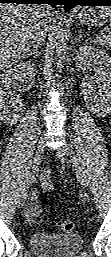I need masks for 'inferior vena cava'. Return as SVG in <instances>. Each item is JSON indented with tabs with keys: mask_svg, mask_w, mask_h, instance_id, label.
Masks as SVG:
<instances>
[{
	"mask_svg": "<svg viewBox=\"0 0 111 257\" xmlns=\"http://www.w3.org/2000/svg\"><path fill=\"white\" fill-rule=\"evenodd\" d=\"M46 33L47 28L42 24L38 23L32 38V46L34 47L35 51H39V49L44 45Z\"/></svg>",
	"mask_w": 111,
	"mask_h": 257,
	"instance_id": "obj_1",
	"label": "inferior vena cava"
}]
</instances>
